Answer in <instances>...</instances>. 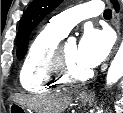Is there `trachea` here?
<instances>
[{
  "instance_id": "trachea-1",
  "label": "trachea",
  "mask_w": 123,
  "mask_h": 113,
  "mask_svg": "<svg viewBox=\"0 0 123 113\" xmlns=\"http://www.w3.org/2000/svg\"><path fill=\"white\" fill-rule=\"evenodd\" d=\"M104 17H111L112 16V11L110 9H106L104 11Z\"/></svg>"
}]
</instances>
